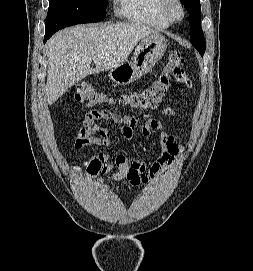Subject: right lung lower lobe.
<instances>
[{"label": "right lung lower lobe", "instance_id": "1", "mask_svg": "<svg viewBox=\"0 0 253 271\" xmlns=\"http://www.w3.org/2000/svg\"><path fill=\"white\" fill-rule=\"evenodd\" d=\"M51 37L50 34H45V37H44V43L47 41V39H49Z\"/></svg>", "mask_w": 253, "mask_h": 271}]
</instances>
